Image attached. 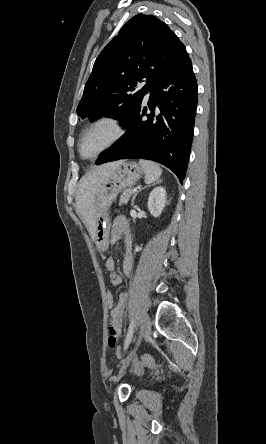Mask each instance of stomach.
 <instances>
[{
    "instance_id": "obj_1",
    "label": "stomach",
    "mask_w": 266,
    "mask_h": 444,
    "mask_svg": "<svg viewBox=\"0 0 266 444\" xmlns=\"http://www.w3.org/2000/svg\"><path fill=\"white\" fill-rule=\"evenodd\" d=\"M143 174L144 169L140 164L122 161L97 190L94 198V228L98 244L104 240L109 231L108 209L110 205L121 190L135 185Z\"/></svg>"
}]
</instances>
